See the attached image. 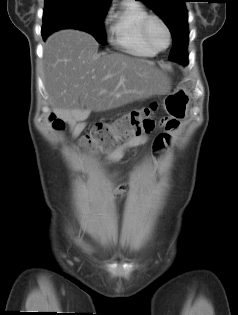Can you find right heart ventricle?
I'll use <instances>...</instances> for the list:
<instances>
[{
  "mask_svg": "<svg viewBox=\"0 0 238 315\" xmlns=\"http://www.w3.org/2000/svg\"><path fill=\"white\" fill-rule=\"evenodd\" d=\"M149 16L140 4L125 0L120 9L109 19V38L111 43L126 53L141 57H152L157 51L143 38L142 24Z\"/></svg>",
  "mask_w": 238,
  "mask_h": 315,
  "instance_id": "e07e8e85",
  "label": "right heart ventricle"
}]
</instances>
